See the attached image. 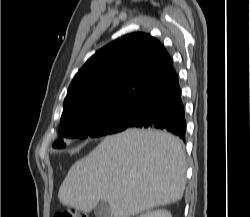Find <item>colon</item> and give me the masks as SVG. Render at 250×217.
Segmentation results:
<instances>
[{
    "label": "colon",
    "mask_w": 250,
    "mask_h": 217,
    "mask_svg": "<svg viewBox=\"0 0 250 217\" xmlns=\"http://www.w3.org/2000/svg\"><path fill=\"white\" fill-rule=\"evenodd\" d=\"M54 217H88L86 214H81L73 208H67L62 212H59L54 215Z\"/></svg>",
    "instance_id": "1"
}]
</instances>
